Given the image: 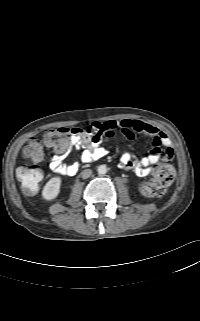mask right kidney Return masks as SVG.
Here are the masks:
<instances>
[{
  "instance_id": "1",
  "label": "right kidney",
  "mask_w": 200,
  "mask_h": 321,
  "mask_svg": "<svg viewBox=\"0 0 200 321\" xmlns=\"http://www.w3.org/2000/svg\"><path fill=\"white\" fill-rule=\"evenodd\" d=\"M61 186L60 177L51 178L43 188L42 196L45 200H53L55 199L59 192Z\"/></svg>"
}]
</instances>
